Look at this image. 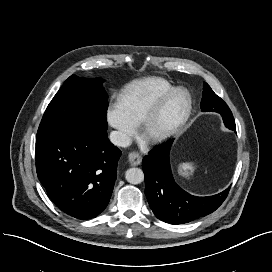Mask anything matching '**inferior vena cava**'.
Instances as JSON below:
<instances>
[{
    "mask_svg": "<svg viewBox=\"0 0 272 272\" xmlns=\"http://www.w3.org/2000/svg\"><path fill=\"white\" fill-rule=\"evenodd\" d=\"M110 141L119 147H128L131 144L130 137L121 131H112L110 133Z\"/></svg>",
    "mask_w": 272,
    "mask_h": 272,
    "instance_id": "inferior-vena-cava-1",
    "label": "inferior vena cava"
}]
</instances>
